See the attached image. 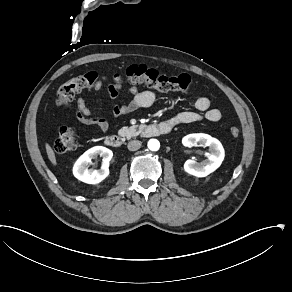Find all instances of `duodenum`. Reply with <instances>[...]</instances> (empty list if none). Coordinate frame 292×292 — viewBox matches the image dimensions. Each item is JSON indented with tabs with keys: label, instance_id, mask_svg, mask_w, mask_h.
Segmentation results:
<instances>
[{
	"label": "duodenum",
	"instance_id": "duodenum-1",
	"mask_svg": "<svg viewBox=\"0 0 292 292\" xmlns=\"http://www.w3.org/2000/svg\"><path fill=\"white\" fill-rule=\"evenodd\" d=\"M172 125L168 122H160L145 126L141 132L142 137L148 138L163 134H168L172 130ZM105 142L109 147L119 148L122 144L117 134H110L105 138Z\"/></svg>",
	"mask_w": 292,
	"mask_h": 292
}]
</instances>
